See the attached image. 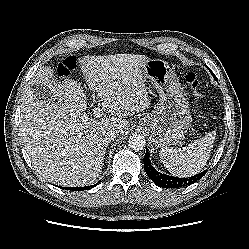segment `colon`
Listing matches in <instances>:
<instances>
[{"label": "colon", "instance_id": "colon-1", "mask_svg": "<svg viewBox=\"0 0 249 249\" xmlns=\"http://www.w3.org/2000/svg\"><path fill=\"white\" fill-rule=\"evenodd\" d=\"M75 63H76V58L73 56L64 58L62 61H60L55 65V71L57 75L58 76L68 75L69 72L75 67ZM185 79L188 85L190 86L193 95L196 98L201 99L203 97V93L197 75L194 72L190 71L187 72Z\"/></svg>", "mask_w": 249, "mask_h": 249}]
</instances>
